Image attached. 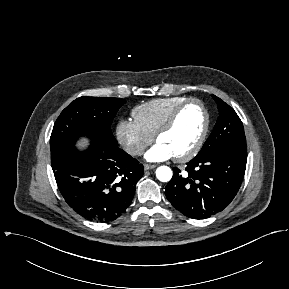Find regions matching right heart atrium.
I'll list each match as a JSON object with an SVG mask.
<instances>
[{
  "mask_svg": "<svg viewBox=\"0 0 289 289\" xmlns=\"http://www.w3.org/2000/svg\"><path fill=\"white\" fill-rule=\"evenodd\" d=\"M115 134L121 147L133 157L142 154L153 141V136L145 132L134 120L129 119L118 121Z\"/></svg>",
  "mask_w": 289,
  "mask_h": 289,
  "instance_id": "1",
  "label": "right heart atrium"
}]
</instances>
